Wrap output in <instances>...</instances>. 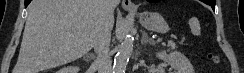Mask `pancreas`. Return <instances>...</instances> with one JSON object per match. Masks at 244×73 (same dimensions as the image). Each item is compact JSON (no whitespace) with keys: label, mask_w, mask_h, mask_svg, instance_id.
I'll list each match as a JSON object with an SVG mask.
<instances>
[{"label":"pancreas","mask_w":244,"mask_h":73,"mask_svg":"<svg viewBox=\"0 0 244 73\" xmlns=\"http://www.w3.org/2000/svg\"><path fill=\"white\" fill-rule=\"evenodd\" d=\"M165 45V44H164ZM167 47H169V48H171V49H176L177 48V46H176V44L174 43V42H172V41H169L168 43H167Z\"/></svg>","instance_id":"1"}]
</instances>
